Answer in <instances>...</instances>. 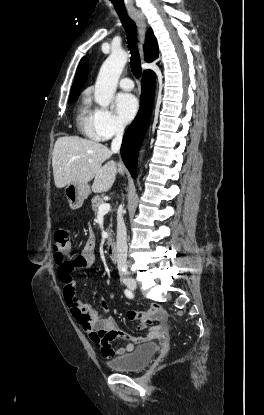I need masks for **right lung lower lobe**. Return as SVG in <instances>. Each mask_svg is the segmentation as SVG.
<instances>
[{
	"instance_id": "right-lung-lower-lobe-1",
	"label": "right lung lower lobe",
	"mask_w": 264,
	"mask_h": 415,
	"mask_svg": "<svg viewBox=\"0 0 264 415\" xmlns=\"http://www.w3.org/2000/svg\"><path fill=\"white\" fill-rule=\"evenodd\" d=\"M155 86V74L144 73L141 82V104L139 112L126 130L121 146L122 159L131 176L135 178L138 152L143 141L151 115Z\"/></svg>"
}]
</instances>
